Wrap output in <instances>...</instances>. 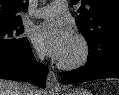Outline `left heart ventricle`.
<instances>
[{"mask_svg":"<svg viewBox=\"0 0 119 95\" xmlns=\"http://www.w3.org/2000/svg\"><path fill=\"white\" fill-rule=\"evenodd\" d=\"M78 54H79V45L77 44L75 39H73L70 47L68 48L67 52L65 53V55L61 60H72L76 58Z\"/></svg>","mask_w":119,"mask_h":95,"instance_id":"1","label":"left heart ventricle"}]
</instances>
